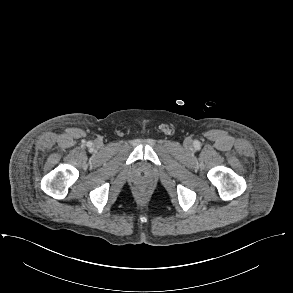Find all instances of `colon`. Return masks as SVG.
<instances>
[{
    "label": "colon",
    "mask_w": 293,
    "mask_h": 293,
    "mask_svg": "<svg viewBox=\"0 0 293 293\" xmlns=\"http://www.w3.org/2000/svg\"><path fill=\"white\" fill-rule=\"evenodd\" d=\"M140 194L143 195L144 194V190H140Z\"/></svg>",
    "instance_id": "colon-1"
}]
</instances>
